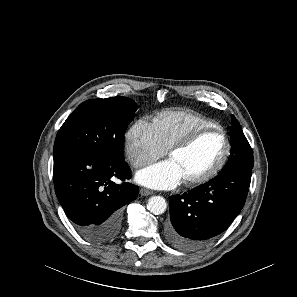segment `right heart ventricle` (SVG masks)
I'll list each match as a JSON object with an SVG mask.
<instances>
[{
    "label": "right heart ventricle",
    "mask_w": 297,
    "mask_h": 297,
    "mask_svg": "<svg viewBox=\"0 0 297 297\" xmlns=\"http://www.w3.org/2000/svg\"><path fill=\"white\" fill-rule=\"evenodd\" d=\"M152 124L158 141L166 150L194 129L216 126L215 122L188 111L162 112L153 119Z\"/></svg>",
    "instance_id": "1"
}]
</instances>
